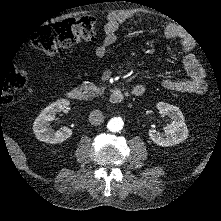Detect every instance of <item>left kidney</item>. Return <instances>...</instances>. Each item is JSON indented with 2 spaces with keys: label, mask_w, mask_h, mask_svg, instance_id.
<instances>
[{
  "label": "left kidney",
  "mask_w": 221,
  "mask_h": 221,
  "mask_svg": "<svg viewBox=\"0 0 221 221\" xmlns=\"http://www.w3.org/2000/svg\"><path fill=\"white\" fill-rule=\"evenodd\" d=\"M156 108L161 114L168 116L171 123L164 127V132L149 130L150 139L159 146L168 147L179 144L188 138V128L181 110L165 102H158Z\"/></svg>",
  "instance_id": "5707ae66"
}]
</instances>
